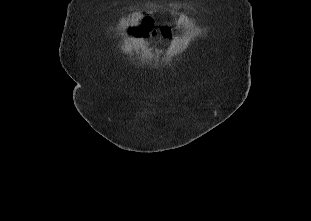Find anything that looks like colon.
Instances as JSON below:
<instances>
[{"mask_svg": "<svg viewBox=\"0 0 311 221\" xmlns=\"http://www.w3.org/2000/svg\"><path fill=\"white\" fill-rule=\"evenodd\" d=\"M140 30L143 32L141 35L143 39H154L155 34L153 32L154 30L153 25L151 24L142 25L140 27ZM127 37H134V34H127Z\"/></svg>", "mask_w": 311, "mask_h": 221, "instance_id": "colon-1", "label": "colon"}]
</instances>
